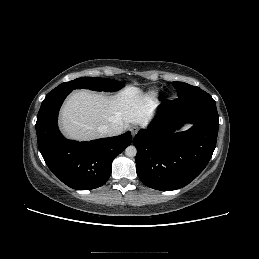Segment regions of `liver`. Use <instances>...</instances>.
Instances as JSON below:
<instances>
[{"label": "liver", "mask_w": 259, "mask_h": 259, "mask_svg": "<svg viewBox=\"0 0 259 259\" xmlns=\"http://www.w3.org/2000/svg\"><path fill=\"white\" fill-rule=\"evenodd\" d=\"M155 101L141 89L129 86L113 96L88 90L73 92L60 114L62 132L71 139L87 141L102 137L98 128L112 122L144 126L152 117Z\"/></svg>", "instance_id": "obj_1"}]
</instances>
